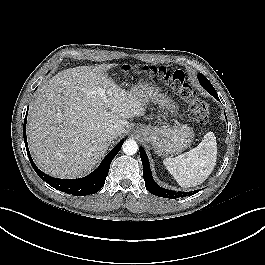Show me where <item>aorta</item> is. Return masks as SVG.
Masks as SVG:
<instances>
[{
    "label": "aorta",
    "mask_w": 265,
    "mask_h": 265,
    "mask_svg": "<svg viewBox=\"0 0 265 265\" xmlns=\"http://www.w3.org/2000/svg\"><path fill=\"white\" fill-rule=\"evenodd\" d=\"M123 152L127 155H133L138 151V144L134 140H127L123 144Z\"/></svg>",
    "instance_id": "obj_1"
}]
</instances>
